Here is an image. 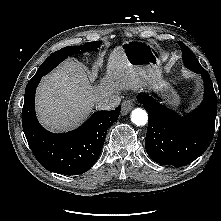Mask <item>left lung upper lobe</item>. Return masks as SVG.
Returning <instances> with one entry per match:
<instances>
[{"mask_svg": "<svg viewBox=\"0 0 221 221\" xmlns=\"http://www.w3.org/2000/svg\"><path fill=\"white\" fill-rule=\"evenodd\" d=\"M182 50V58L183 62L192 71H198L204 69L198 62L197 58L195 57L194 53L182 42H178Z\"/></svg>", "mask_w": 221, "mask_h": 221, "instance_id": "obj_1", "label": "left lung upper lobe"}]
</instances>
